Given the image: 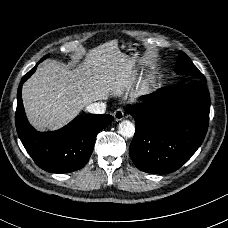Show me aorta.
Listing matches in <instances>:
<instances>
[{
  "label": "aorta",
  "instance_id": "762f6f07",
  "mask_svg": "<svg viewBox=\"0 0 228 228\" xmlns=\"http://www.w3.org/2000/svg\"><path fill=\"white\" fill-rule=\"evenodd\" d=\"M118 131L121 136L129 139L135 135V126L130 121H122L119 124Z\"/></svg>",
  "mask_w": 228,
  "mask_h": 228
}]
</instances>
